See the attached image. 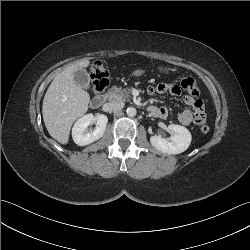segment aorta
I'll return each instance as SVG.
<instances>
[{"label": "aorta", "mask_w": 250, "mask_h": 250, "mask_svg": "<svg viewBox=\"0 0 250 250\" xmlns=\"http://www.w3.org/2000/svg\"><path fill=\"white\" fill-rule=\"evenodd\" d=\"M126 113L129 117H134L137 114V111L134 107H128Z\"/></svg>", "instance_id": "aorta-1"}]
</instances>
